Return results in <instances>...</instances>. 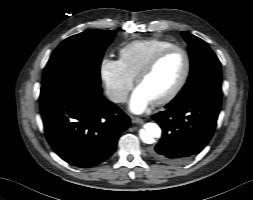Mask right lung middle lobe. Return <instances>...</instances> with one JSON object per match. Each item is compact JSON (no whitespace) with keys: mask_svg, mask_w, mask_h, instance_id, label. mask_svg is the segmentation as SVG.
<instances>
[{"mask_svg":"<svg viewBox=\"0 0 253 200\" xmlns=\"http://www.w3.org/2000/svg\"><path fill=\"white\" fill-rule=\"evenodd\" d=\"M115 34L116 31L89 30L64 40L46 65L42 85L76 80L100 87L101 60Z\"/></svg>","mask_w":253,"mask_h":200,"instance_id":"right-lung-middle-lobe-1","label":"right lung middle lobe"}]
</instances>
